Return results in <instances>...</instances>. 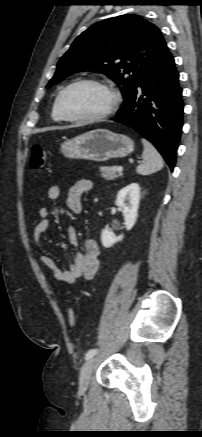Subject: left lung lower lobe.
Listing matches in <instances>:
<instances>
[{
	"label": "left lung lower lobe",
	"mask_w": 202,
	"mask_h": 437,
	"mask_svg": "<svg viewBox=\"0 0 202 437\" xmlns=\"http://www.w3.org/2000/svg\"><path fill=\"white\" fill-rule=\"evenodd\" d=\"M183 106L179 73L167 49L113 120L152 142L173 170L183 126Z\"/></svg>",
	"instance_id": "obj_1"
}]
</instances>
